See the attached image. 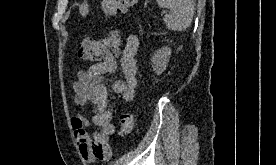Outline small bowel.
Wrapping results in <instances>:
<instances>
[{"instance_id": "obj_1", "label": "small bowel", "mask_w": 276, "mask_h": 165, "mask_svg": "<svg viewBox=\"0 0 276 165\" xmlns=\"http://www.w3.org/2000/svg\"><path fill=\"white\" fill-rule=\"evenodd\" d=\"M139 41L136 36L127 37L119 61L115 59L98 62L77 74L73 83L74 102L78 107L92 105V122L99 128L92 136L86 131L88 120L80 114L71 117L74 138L82 158L86 162L105 161L110 157L109 137L114 133L109 92L104 77L113 74L120 66L123 79L112 83L111 89L125 101L135 98L137 86V61Z\"/></svg>"}]
</instances>
